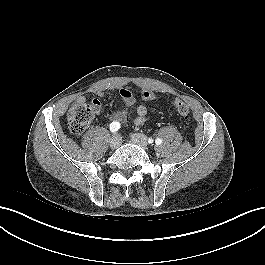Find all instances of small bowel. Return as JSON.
<instances>
[{
  "label": "small bowel",
  "mask_w": 265,
  "mask_h": 265,
  "mask_svg": "<svg viewBox=\"0 0 265 265\" xmlns=\"http://www.w3.org/2000/svg\"><path fill=\"white\" fill-rule=\"evenodd\" d=\"M101 95V93H99ZM120 96L123 101V107L114 111L110 115V120L113 122H124L127 117L128 109L132 107L136 103V98L133 95V93L129 89H121L120 90ZM84 100L83 97H79L78 101L82 102ZM98 102L99 107H100V101L97 99H94ZM147 118V108L144 105H139L137 107V116L134 120L135 125L141 126L146 122Z\"/></svg>",
  "instance_id": "c3829d8e"
}]
</instances>
